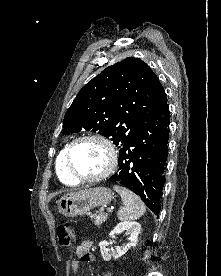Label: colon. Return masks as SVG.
Wrapping results in <instances>:
<instances>
[{
  "mask_svg": "<svg viewBox=\"0 0 221 276\" xmlns=\"http://www.w3.org/2000/svg\"><path fill=\"white\" fill-rule=\"evenodd\" d=\"M57 238L59 245L62 247H70L75 243L76 234L69 222H63L57 227ZM105 276H112L107 273Z\"/></svg>",
  "mask_w": 221,
  "mask_h": 276,
  "instance_id": "5ec220e1",
  "label": "colon"
}]
</instances>
